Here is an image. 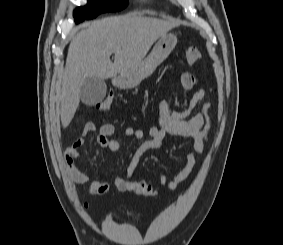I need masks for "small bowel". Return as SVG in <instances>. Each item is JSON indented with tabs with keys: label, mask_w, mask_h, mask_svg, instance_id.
Listing matches in <instances>:
<instances>
[{
	"label": "small bowel",
	"mask_w": 283,
	"mask_h": 245,
	"mask_svg": "<svg viewBox=\"0 0 283 245\" xmlns=\"http://www.w3.org/2000/svg\"><path fill=\"white\" fill-rule=\"evenodd\" d=\"M197 78L185 72L181 76V85L185 90H191L197 85ZM203 89L197 90L190 99L186 108L182 110H173L168 101L160 100L159 102V123L151 125L147 132L149 139L144 140V131L140 128L129 126L124 130L128 138L142 141L127 166L126 178H111L108 181H93L90 185V193L95 196H101L108 192L111 186H115L119 191L129 192L128 184L132 181L133 174L138 166L140 157L148 150L162 149L163 140L167 135L177 136L190 140L191 149L186 154V162L182 169L176 173L170 180L161 175L158 183L162 186H168L169 189H175L186 180L193 171L198 156L203 152L208 140L211 129V118L209 115L210 103H205L201 112L193 113L194 108L205 98ZM96 130L93 123H87L82 131V136L70 145L64 154L65 164L70 177L77 183L88 182V177L78 168L77 158L78 150L85 143L84 136ZM115 127L111 123L102 125L96 136L97 144L110 151L117 152L120 149V143L114 139ZM135 193V192H133ZM137 194V193H136ZM88 204H85L87 207Z\"/></svg>",
	"instance_id": "small-bowel-1"
}]
</instances>
